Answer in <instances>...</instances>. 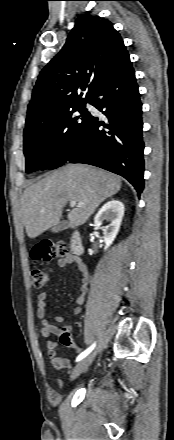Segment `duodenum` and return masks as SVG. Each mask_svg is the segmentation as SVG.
<instances>
[{
    "label": "duodenum",
    "mask_w": 174,
    "mask_h": 440,
    "mask_svg": "<svg viewBox=\"0 0 174 440\" xmlns=\"http://www.w3.org/2000/svg\"><path fill=\"white\" fill-rule=\"evenodd\" d=\"M70 247L72 252L76 255V256H80L83 251H84V247H83V240L81 237V234L79 231H75L70 239Z\"/></svg>",
    "instance_id": "1"
}]
</instances>
